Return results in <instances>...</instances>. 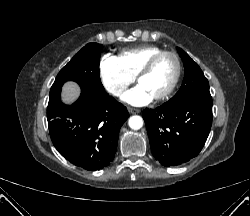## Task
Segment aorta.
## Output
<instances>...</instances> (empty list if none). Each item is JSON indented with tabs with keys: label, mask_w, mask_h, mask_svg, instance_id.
I'll use <instances>...</instances> for the list:
<instances>
[{
	"label": "aorta",
	"mask_w": 250,
	"mask_h": 216,
	"mask_svg": "<svg viewBox=\"0 0 250 216\" xmlns=\"http://www.w3.org/2000/svg\"><path fill=\"white\" fill-rule=\"evenodd\" d=\"M128 124L131 129L139 130L143 126V119L140 116L135 115L129 118Z\"/></svg>",
	"instance_id": "aorta-1"
}]
</instances>
